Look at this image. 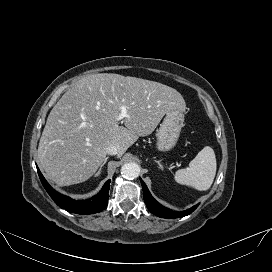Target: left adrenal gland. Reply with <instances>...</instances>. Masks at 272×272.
I'll return each mask as SVG.
<instances>
[{
  "label": "left adrenal gland",
  "mask_w": 272,
  "mask_h": 272,
  "mask_svg": "<svg viewBox=\"0 0 272 272\" xmlns=\"http://www.w3.org/2000/svg\"><path fill=\"white\" fill-rule=\"evenodd\" d=\"M154 161L158 164L159 168L163 169V165L160 163V161L158 160H154Z\"/></svg>",
  "instance_id": "obj_1"
}]
</instances>
